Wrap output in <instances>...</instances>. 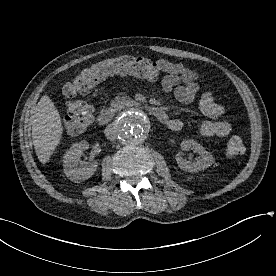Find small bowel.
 Masks as SVG:
<instances>
[{
	"label": "small bowel",
	"mask_w": 276,
	"mask_h": 276,
	"mask_svg": "<svg viewBox=\"0 0 276 276\" xmlns=\"http://www.w3.org/2000/svg\"><path fill=\"white\" fill-rule=\"evenodd\" d=\"M156 63L160 72L164 73L161 80L163 91L172 94L177 101L183 104H193L201 90V81L198 74L181 63L164 59L157 60ZM199 108L208 118L197 125L200 135L224 137L231 132V124L219 119L225 114V107L215 101L211 91L201 94ZM166 126L170 130L178 131L183 127V121L176 118L168 119Z\"/></svg>",
	"instance_id": "1"
}]
</instances>
